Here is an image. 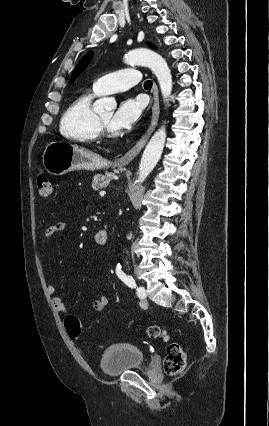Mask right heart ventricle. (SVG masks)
<instances>
[{"instance_id": "1", "label": "right heart ventricle", "mask_w": 269, "mask_h": 426, "mask_svg": "<svg viewBox=\"0 0 269 426\" xmlns=\"http://www.w3.org/2000/svg\"><path fill=\"white\" fill-rule=\"evenodd\" d=\"M96 95L94 91H87L68 106L60 122L64 136L79 142H91L99 136L97 115L92 108Z\"/></svg>"}]
</instances>
